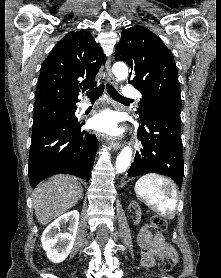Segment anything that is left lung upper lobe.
Segmentation results:
<instances>
[{
	"label": "left lung upper lobe",
	"instance_id": "1",
	"mask_svg": "<svg viewBox=\"0 0 221 278\" xmlns=\"http://www.w3.org/2000/svg\"><path fill=\"white\" fill-rule=\"evenodd\" d=\"M115 59L131 69L130 83L143 98L138 118L143 119L156 109L180 114L181 98L177 68L171 51L145 27L124 29L115 50Z\"/></svg>",
	"mask_w": 221,
	"mask_h": 278
}]
</instances>
